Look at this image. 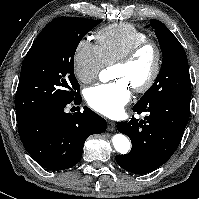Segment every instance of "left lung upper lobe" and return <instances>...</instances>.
I'll return each instance as SVG.
<instances>
[{"mask_svg": "<svg viewBox=\"0 0 199 199\" xmlns=\"http://www.w3.org/2000/svg\"><path fill=\"white\" fill-rule=\"evenodd\" d=\"M155 29L163 61L154 84L147 90L135 106L146 108L150 104L171 98L191 99V80L184 48L172 32L160 21L150 20Z\"/></svg>", "mask_w": 199, "mask_h": 199, "instance_id": "1", "label": "left lung upper lobe"}]
</instances>
